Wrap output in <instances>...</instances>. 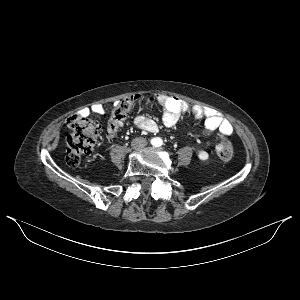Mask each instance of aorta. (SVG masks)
Instances as JSON below:
<instances>
[{"label": "aorta", "mask_w": 300, "mask_h": 300, "mask_svg": "<svg viewBox=\"0 0 300 300\" xmlns=\"http://www.w3.org/2000/svg\"><path fill=\"white\" fill-rule=\"evenodd\" d=\"M152 144L156 147H160L163 144V140L159 137H156L152 140Z\"/></svg>", "instance_id": "762f6f07"}]
</instances>
